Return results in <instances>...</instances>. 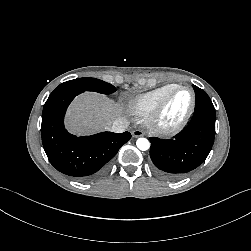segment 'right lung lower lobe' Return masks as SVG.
Returning a JSON list of instances; mask_svg holds the SVG:
<instances>
[{
	"label": "right lung lower lobe",
	"instance_id": "1",
	"mask_svg": "<svg viewBox=\"0 0 251 251\" xmlns=\"http://www.w3.org/2000/svg\"><path fill=\"white\" fill-rule=\"evenodd\" d=\"M76 91L51 94L42 113V143L50 163L60 172L79 180L96 179L108 169L109 161L130 138L129 132H102L77 137L64 127V115Z\"/></svg>",
	"mask_w": 251,
	"mask_h": 251
}]
</instances>
